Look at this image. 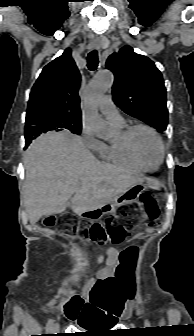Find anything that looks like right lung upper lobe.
I'll use <instances>...</instances> for the list:
<instances>
[{
	"label": "right lung upper lobe",
	"mask_w": 194,
	"mask_h": 336,
	"mask_svg": "<svg viewBox=\"0 0 194 336\" xmlns=\"http://www.w3.org/2000/svg\"><path fill=\"white\" fill-rule=\"evenodd\" d=\"M80 82L81 75L70 49L44 67L31 90L26 126L42 122L45 129L25 136L26 143L42 133L58 132L61 124L82 126L78 96Z\"/></svg>",
	"instance_id": "right-lung-upper-lobe-1"
}]
</instances>
